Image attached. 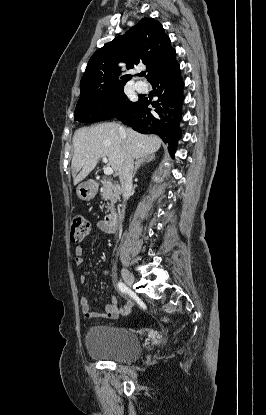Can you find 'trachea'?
Segmentation results:
<instances>
[{"mask_svg": "<svg viewBox=\"0 0 266 415\" xmlns=\"http://www.w3.org/2000/svg\"><path fill=\"white\" fill-rule=\"evenodd\" d=\"M140 75L141 76H145L146 75V72H142Z\"/></svg>", "mask_w": 266, "mask_h": 415, "instance_id": "3493384b", "label": "trachea"}]
</instances>
